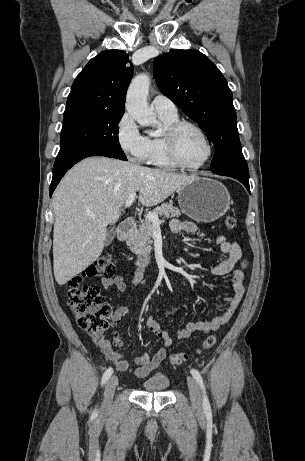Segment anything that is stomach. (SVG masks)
<instances>
[{"instance_id": "1", "label": "stomach", "mask_w": 305, "mask_h": 461, "mask_svg": "<svg viewBox=\"0 0 305 461\" xmlns=\"http://www.w3.org/2000/svg\"><path fill=\"white\" fill-rule=\"evenodd\" d=\"M178 203L182 212L193 220L209 223L227 212L230 195L221 182L207 177H195L179 189Z\"/></svg>"}]
</instances>
